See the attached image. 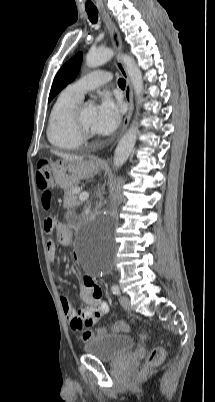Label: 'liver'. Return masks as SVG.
I'll use <instances>...</instances> for the list:
<instances>
[{"instance_id":"1","label":"liver","mask_w":215,"mask_h":402,"mask_svg":"<svg viewBox=\"0 0 215 402\" xmlns=\"http://www.w3.org/2000/svg\"><path fill=\"white\" fill-rule=\"evenodd\" d=\"M53 153H55L57 156L61 157L65 161H76V160H80L83 158V157H80L77 155H70V154L60 153L57 151H54Z\"/></svg>"}]
</instances>
